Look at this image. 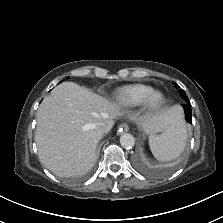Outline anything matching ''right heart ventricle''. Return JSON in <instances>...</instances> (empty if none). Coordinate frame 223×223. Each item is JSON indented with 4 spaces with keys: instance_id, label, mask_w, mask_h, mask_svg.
<instances>
[{
    "instance_id": "e07e8e85",
    "label": "right heart ventricle",
    "mask_w": 223,
    "mask_h": 223,
    "mask_svg": "<svg viewBox=\"0 0 223 223\" xmlns=\"http://www.w3.org/2000/svg\"><path fill=\"white\" fill-rule=\"evenodd\" d=\"M152 87L145 84H130L119 88L115 94V102L124 108H133L140 105Z\"/></svg>"
}]
</instances>
